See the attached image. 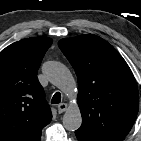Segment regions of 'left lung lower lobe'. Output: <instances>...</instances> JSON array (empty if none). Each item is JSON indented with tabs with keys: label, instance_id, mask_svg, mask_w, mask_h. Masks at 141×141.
I'll return each mask as SVG.
<instances>
[{
	"label": "left lung lower lobe",
	"instance_id": "1",
	"mask_svg": "<svg viewBox=\"0 0 141 141\" xmlns=\"http://www.w3.org/2000/svg\"><path fill=\"white\" fill-rule=\"evenodd\" d=\"M76 137L79 141H99L97 139H94L90 136H88L87 134H85L84 132L77 130L75 131Z\"/></svg>",
	"mask_w": 141,
	"mask_h": 141
}]
</instances>
